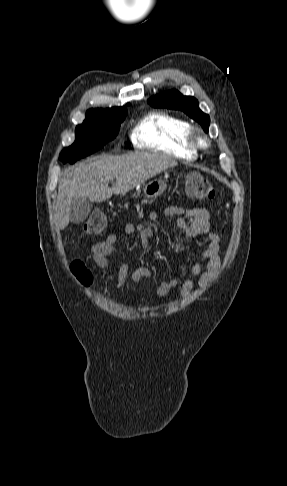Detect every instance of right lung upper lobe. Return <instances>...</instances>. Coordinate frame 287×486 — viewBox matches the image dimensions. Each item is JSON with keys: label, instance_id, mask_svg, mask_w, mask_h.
<instances>
[{"label": "right lung upper lobe", "instance_id": "obj_1", "mask_svg": "<svg viewBox=\"0 0 287 486\" xmlns=\"http://www.w3.org/2000/svg\"><path fill=\"white\" fill-rule=\"evenodd\" d=\"M89 111H101V112H106L109 114H124L127 113V110L125 107H113L110 109H90Z\"/></svg>", "mask_w": 287, "mask_h": 486}]
</instances>
